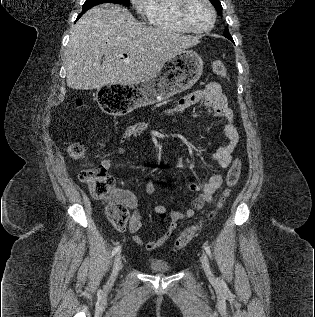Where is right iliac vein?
Here are the masks:
<instances>
[{"label": "right iliac vein", "mask_w": 315, "mask_h": 317, "mask_svg": "<svg viewBox=\"0 0 315 317\" xmlns=\"http://www.w3.org/2000/svg\"><path fill=\"white\" fill-rule=\"evenodd\" d=\"M121 266H122V257L120 254H117V256L114 259L112 272L109 278L110 283H112L116 279Z\"/></svg>", "instance_id": "right-iliac-vein-1"}]
</instances>
